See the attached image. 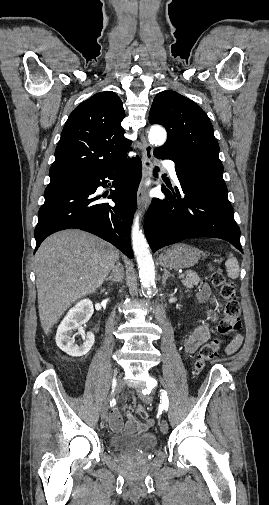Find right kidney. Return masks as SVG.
Listing matches in <instances>:
<instances>
[{
    "label": "right kidney",
    "instance_id": "obj_1",
    "mask_svg": "<svg viewBox=\"0 0 269 505\" xmlns=\"http://www.w3.org/2000/svg\"><path fill=\"white\" fill-rule=\"evenodd\" d=\"M94 312L92 301L83 299L69 310L57 329L56 344L72 357L86 355L92 348L95 337L92 332L85 333L82 325L85 324ZM78 330L83 337V344L75 343L74 331Z\"/></svg>",
    "mask_w": 269,
    "mask_h": 505
}]
</instances>
